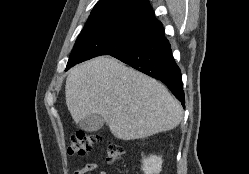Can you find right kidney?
Segmentation results:
<instances>
[{
	"label": "right kidney",
	"mask_w": 249,
	"mask_h": 174,
	"mask_svg": "<svg viewBox=\"0 0 249 174\" xmlns=\"http://www.w3.org/2000/svg\"><path fill=\"white\" fill-rule=\"evenodd\" d=\"M163 160L160 156L151 155L142 161V170L144 174H159L162 170Z\"/></svg>",
	"instance_id": "1"
}]
</instances>
